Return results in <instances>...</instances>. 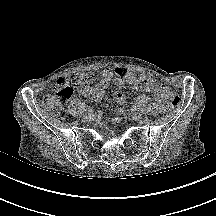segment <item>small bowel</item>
<instances>
[{"label": "small bowel", "mask_w": 216, "mask_h": 216, "mask_svg": "<svg viewBox=\"0 0 216 216\" xmlns=\"http://www.w3.org/2000/svg\"><path fill=\"white\" fill-rule=\"evenodd\" d=\"M112 84L117 89L114 93L115 100L118 104L124 103L126 97L121 89L128 84L136 91L151 92L156 97V103L153 106L155 114L163 110V104L166 101L168 88L157 83L154 76L150 73H144L140 76L128 72L124 69L117 68L114 71L105 69L102 73L101 80L96 85L82 84L78 90L92 101L100 100L105 94L108 86Z\"/></svg>", "instance_id": "obj_1"}]
</instances>
